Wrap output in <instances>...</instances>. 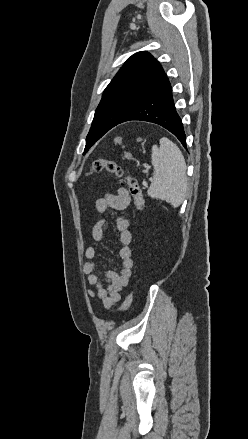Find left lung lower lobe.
<instances>
[{"instance_id":"left-lung-lower-lobe-1","label":"left lung lower lobe","mask_w":248,"mask_h":439,"mask_svg":"<svg viewBox=\"0 0 248 439\" xmlns=\"http://www.w3.org/2000/svg\"><path fill=\"white\" fill-rule=\"evenodd\" d=\"M132 120L152 122L166 128L186 148L183 124L176 112L171 85L165 73L118 124Z\"/></svg>"}]
</instances>
